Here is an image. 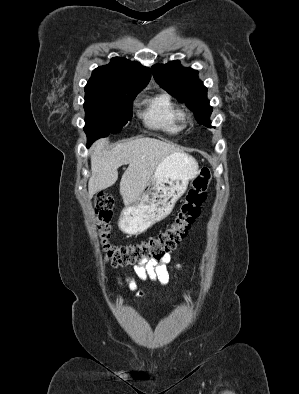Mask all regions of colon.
I'll list each match as a JSON object with an SVG mask.
<instances>
[{
    "label": "colon",
    "instance_id": "1",
    "mask_svg": "<svg viewBox=\"0 0 299 394\" xmlns=\"http://www.w3.org/2000/svg\"><path fill=\"white\" fill-rule=\"evenodd\" d=\"M210 181V169L202 168L192 180L172 222L165 229L145 240L121 246L113 245L110 242V220L113 214L114 199L106 193L98 194L94 200L97 216L96 230L105 260L112 266L123 267L164 258L186 236L190 224L199 216Z\"/></svg>",
    "mask_w": 299,
    "mask_h": 394
}]
</instances>
